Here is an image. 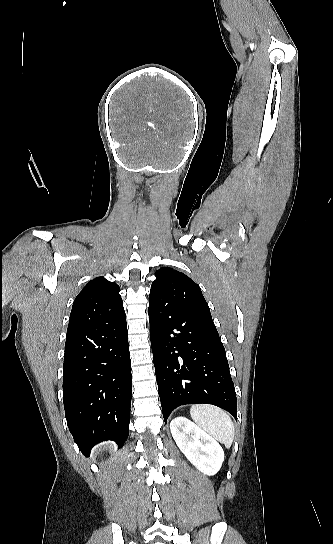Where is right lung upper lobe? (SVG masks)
I'll use <instances>...</instances> for the list:
<instances>
[{"mask_svg":"<svg viewBox=\"0 0 333 544\" xmlns=\"http://www.w3.org/2000/svg\"><path fill=\"white\" fill-rule=\"evenodd\" d=\"M120 287L97 277L89 281L74 300L67 333L125 313Z\"/></svg>","mask_w":333,"mask_h":544,"instance_id":"1","label":"right lung upper lobe"}]
</instances>
